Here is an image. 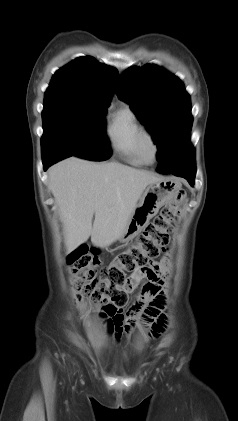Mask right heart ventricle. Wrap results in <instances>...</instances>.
<instances>
[{"mask_svg":"<svg viewBox=\"0 0 238 421\" xmlns=\"http://www.w3.org/2000/svg\"><path fill=\"white\" fill-rule=\"evenodd\" d=\"M143 130L137 114L129 105H122L111 113L106 128L111 145L130 164L146 165L139 148V136Z\"/></svg>","mask_w":238,"mask_h":421,"instance_id":"right-heart-ventricle-1","label":"right heart ventricle"}]
</instances>
